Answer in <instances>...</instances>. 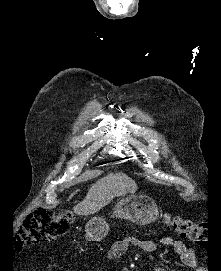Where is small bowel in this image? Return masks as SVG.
Masks as SVG:
<instances>
[{
	"label": "small bowel",
	"instance_id": "1",
	"mask_svg": "<svg viewBox=\"0 0 221 271\" xmlns=\"http://www.w3.org/2000/svg\"><path fill=\"white\" fill-rule=\"evenodd\" d=\"M161 243L171 247L172 250L180 256V259L185 266H196L194 249L188 248L181 240L166 237L161 240ZM130 246L137 247L146 253H153L157 249L156 243L152 240L128 236L117 240L112 244L108 251V258L111 260L119 259ZM122 271H128V269L125 268L122 269ZM154 271H166V269L163 267H156Z\"/></svg>",
	"mask_w": 221,
	"mask_h": 271
}]
</instances>
